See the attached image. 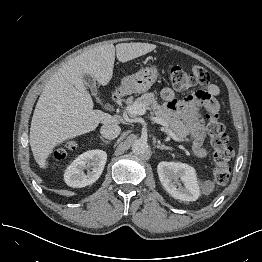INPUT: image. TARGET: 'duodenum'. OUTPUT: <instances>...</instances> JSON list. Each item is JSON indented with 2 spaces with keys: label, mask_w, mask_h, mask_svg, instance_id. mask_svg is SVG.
I'll use <instances>...</instances> for the list:
<instances>
[{
  "label": "duodenum",
  "mask_w": 262,
  "mask_h": 262,
  "mask_svg": "<svg viewBox=\"0 0 262 262\" xmlns=\"http://www.w3.org/2000/svg\"><path fill=\"white\" fill-rule=\"evenodd\" d=\"M111 96H112V98H113L114 100H117V99L119 98V96H120V93H119L118 91H113V92L111 93Z\"/></svg>",
  "instance_id": "1"
}]
</instances>
